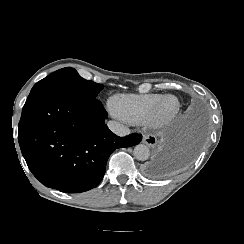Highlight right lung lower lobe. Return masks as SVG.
Instances as JSON below:
<instances>
[{
  "mask_svg": "<svg viewBox=\"0 0 244 244\" xmlns=\"http://www.w3.org/2000/svg\"><path fill=\"white\" fill-rule=\"evenodd\" d=\"M107 112L96 98L64 92L30 93L18 125V141L33 175L45 186L78 193L97 186L117 148L142 140L113 134Z\"/></svg>",
  "mask_w": 244,
  "mask_h": 244,
  "instance_id": "right-lung-lower-lobe-1",
  "label": "right lung lower lobe"
}]
</instances>
